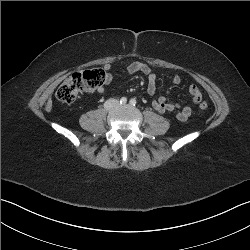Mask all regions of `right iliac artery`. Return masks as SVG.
<instances>
[{"instance_id": "1", "label": "right iliac artery", "mask_w": 250, "mask_h": 250, "mask_svg": "<svg viewBox=\"0 0 250 250\" xmlns=\"http://www.w3.org/2000/svg\"><path fill=\"white\" fill-rule=\"evenodd\" d=\"M126 102H127V98H125V97H122L121 99H120V104H126Z\"/></svg>"}]
</instances>
